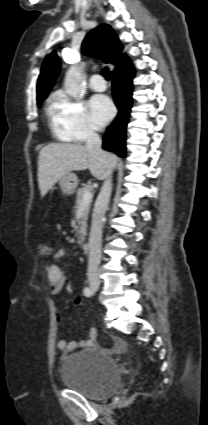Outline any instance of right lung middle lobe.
<instances>
[{"instance_id": "1", "label": "right lung middle lobe", "mask_w": 208, "mask_h": 425, "mask_svg": "<svg viewBox=\"0 0 208 425\" xmlns=\"http://www.w3.org/2000/svg\"><path fill=\"white\" fill-rule=\"evenodd\" d=\"M42 101L37 102V104L39 105Z\"/></svg>"}]
</instances>
